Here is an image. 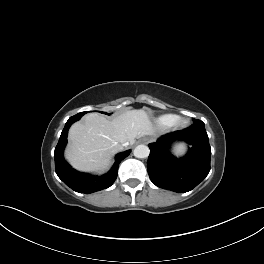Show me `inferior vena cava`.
Instances as JSON below:
<instances>
[{
    "mask_svg": "<svg viewBox=\"0 0 264 264\" xmlns=\"http://www.w3.org/2000/svg\"><path fill=\"white\" fill-rule=\"evenodd\" d=\"M128 145H129L128 142H124V143L122 144V146H128Z\"/></svg>",
    "mask_w": 264,
    "mask_h": 264,
    "instance_id": "602c4592",
    "label": "inferior vena cava"
}]
</instances>
